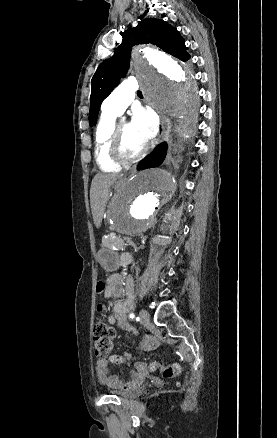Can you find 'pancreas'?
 <instances>
[{"label": "pancreas", "mask_w": 277, "mask_h": 438, "mask_svg": "<svg viewBox=\"0 0 277 438\" xmlns=\"http://www.w3.org/2000/svg\"><path fill=\"white\" fill-rule=\"evenodd\" d=\"M125 237H119L117 231H106L103 237V245L106 248H124Z\"/></svg>", "instance_id": "cf45deb5"}]
</instances>
